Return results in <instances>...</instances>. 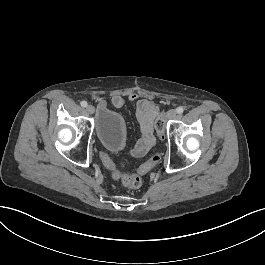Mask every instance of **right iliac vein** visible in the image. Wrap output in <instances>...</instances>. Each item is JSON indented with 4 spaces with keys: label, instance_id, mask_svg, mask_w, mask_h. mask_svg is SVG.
<instances>
[{
    "label": "right iliac vein",
    "instance_id": "right-iliac-vein-1",
    "mask_svg": "<svg viewBox=\"0 0 265 265\" xmlns=\"http://www.w3.org/2000/svg\"><path fill=\"white\" fill-rule=\"evenodd\" d=\"M86 111H87L89 114H93L94 111H95V108H94L93 105H88V106L86 107Z\"/></svg>",
    "mask_w": 265,
    "mask_h": 265
}]
</instances>
